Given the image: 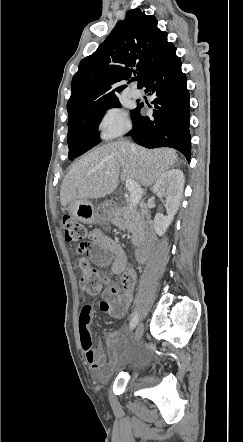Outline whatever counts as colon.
Wrapping results in <instances>:
<instances>
[{
    "label": "colon",
    "mask_w": 243,
    "mask_h": 442,
    "mask_svg": "<svg viewBox=\"0 0 243 442\" xmlns=\"http://www.w3.org/2000/svg\"><path fill=\"white\" fill-rule=\"evenodd\" d=\"M65 239L68 242H79L70 243L69 251L77 252L80 258V266L82 270L81 276V288L82 290L90 295H96L100 293L102 286L104 284L103 278L101 277L99 271L90 265L88 259L89 244L86 241L87 231L83 224L78 222L74 217L65 215L62 219Z\"/></svg>",
    "instance_id": "1"
}]
</instances>
